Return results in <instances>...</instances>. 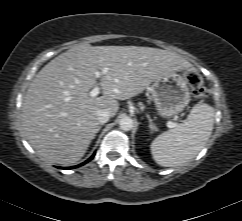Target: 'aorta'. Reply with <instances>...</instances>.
<instances>
[{
    "mask_svg": "<svg viewBox=\"0 0 242 221\" xmlns=\"http://www.w3.org/2000/svg\"><path fill=\"white\" fill-rule=\"evenodd\" d=\"M120 128L124 131H129L134 126V121L131 117L124 116L119 120Z\"/></svg>",
    "mask_w": 242,
    "mask_h": 221,
    "instance_id": "obj_1",
    "label": "aorta"
}]
</instances>
